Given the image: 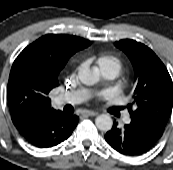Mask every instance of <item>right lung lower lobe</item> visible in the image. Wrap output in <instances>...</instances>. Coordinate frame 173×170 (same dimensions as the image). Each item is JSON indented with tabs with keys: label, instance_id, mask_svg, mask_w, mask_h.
Masks as SVG:
<instances>
[{
	"label": "right lung lower lobe",
	"instance_id": "98d812e1",
	"mask_svg": "<svg viewBox=\"0 0 173 170\" xmlns=\"http://www.w3.org/2000/svg\"><path fill=\"white\" fill-rule=\"evenodd\" d=\"M78 120L76 115L54 111L27 118L14 125L31 145L49 148L66 140L77 126Z\"/></svg>",
	"mask_w": 173,
	"mask_h": 170
}]
</instances>
